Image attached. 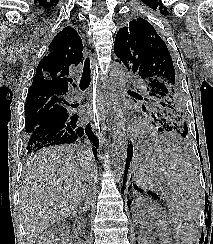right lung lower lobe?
<instances>
[{
    "mask_svg": "<svg viewBox=\"0 0 213 244\" xmlns=\"http://www.w3.org/2000/svg\"><path fill=\"white\" fill-rule=\"evenodd\" d=\"M76 114H65L45 124L39 125L30 135L26 137L28 154H32L43 147L73 143L85 134L92 142L95 157L98 140L92 132L90 123L84 127L78 122Z\"/></svg>",
    "mask_w": 213,
    "mask_h": 244,
    "instance_id": "1",
    "label": "right lung lower lobe"
}]
</instances>
